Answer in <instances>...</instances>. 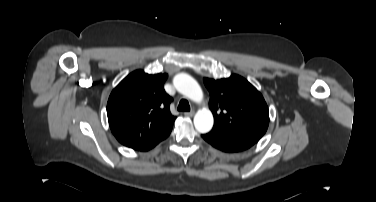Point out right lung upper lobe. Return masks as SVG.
Wrapping results in <instances>:
<instances>
[{
    "label": "right lung upper lobe",
    "instance_id": "cb5924a9",
    "mask_svg": "<svg viewBox=\"0 0 376 202\" xmlns=\"http://www.w3.org/2000/svg\"><path fill=\"white\" fill-rule=\"evenodd\" d=\"M167 74H146L136 70L111 92L107 103L112 133L123 145L144 150L170 134L175 120L170 112L171 97L163 83Z\"/></svg>",
    "mask_w": 376,
    "mask_h": 202
}]
</instances>
